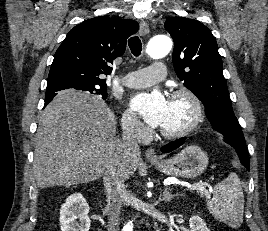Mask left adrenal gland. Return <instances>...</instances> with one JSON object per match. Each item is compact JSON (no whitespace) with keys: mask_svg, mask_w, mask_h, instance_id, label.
I'll list each match as a JSON object with an SVG mask.
<instances>
[{"mask_svg":"<svg viewBox=\"0 0 268 231\" xmlns=\"http://www.w3.org/2000/svg\"><path fill=\"white\" fill-rule=\"evenodd\" d=\"M178 196L177 194H171L168 187L165 188L163 192L162 201L164 202H170L174 197Z\"/></svg>","mask_w":268,"mask_h":231,"instance_id":"a2214340","label":"left adrenal gland"}]
</instances>
